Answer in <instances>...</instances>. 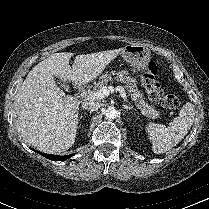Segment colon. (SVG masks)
<instances>
[{"instance_id":"obj_1","label":"colon","mask_w":209,"mask_h":209,"mask_svg":"<svg viewBox=\"0 0 209 209\" xmlns=\"http://www.w3.org/2000/svg\"><path fill=\"white\" fill-rule=\"evenodd\" d=\"M142 83L153 101L159 102L164 108L169 110L179 108V99L173 94H166L164 92L157 77V65L154 61H150L147 64L146 72L142 77Z\"/></svg>"}]
</instances>
